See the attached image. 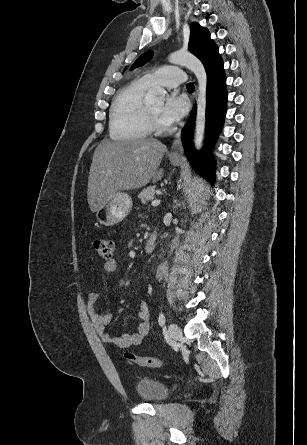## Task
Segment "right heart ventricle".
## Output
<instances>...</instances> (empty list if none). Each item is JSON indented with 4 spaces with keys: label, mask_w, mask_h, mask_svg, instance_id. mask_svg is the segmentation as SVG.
<instances>
[{
    "label": "right heart ventricle",
    "mask_w": 307,
    "mask_h": 445,
    "mask_svg": "<svg viewBox=\"0 0 307 445\" xmlns=\"http://www.w3.org/2000/svg\"><path fill=\"white\" fill-rule=\"evenodd\" d=\"M150 85L146 79L134 82L115 97L110 110L112 139L149 140L146 136L151 126L145 111V97Z\"/></svg>",
    "instance_id": "1"
}]
</instances>
